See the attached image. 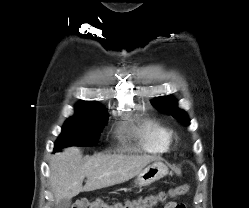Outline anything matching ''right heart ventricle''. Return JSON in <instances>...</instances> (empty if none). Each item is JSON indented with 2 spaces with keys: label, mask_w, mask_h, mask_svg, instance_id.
Masks as SVG:
<instances>
[{
  "label": "right heart ventricle",
  "mask_w": 249,
  "mask_h": 208,
  "mask_svg": "<svg viewBox=\"0 0 249 208\" xmlns=\"http://www.w3.org/2000/svg\"><path fill=\"white\" fill-rule=\"evenodd\" d=\"M134 133L142 149L153 154L167 152L173 142L172 131L155 119L142 120Z\"/></svg>",
  "instance_id": "right-heart-ventricle-1"
}]
</instances>
